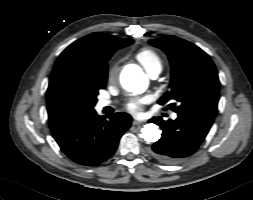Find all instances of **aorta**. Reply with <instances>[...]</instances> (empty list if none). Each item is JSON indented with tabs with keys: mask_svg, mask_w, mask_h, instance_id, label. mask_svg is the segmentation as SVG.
Listing matches in <instances>:
<instances>
[{
	"mask_svg": "<svg viewBox=\"0 0 253 200\" xmlns=\"http://www.w3.org/2000/svg\"><path fill=\"white\" fill-rule=\"evenodd\" d=\"M148 83V77L137 68L128 70L121 75V84L129 92L143 93L147 89ZM141 136L148 143L156 142L161 137V130L156 124L149 123L143 126Z\"/></svg>",
	"mask_w": 253,
	"mask_h": 200,
	"instance_id": "762f6f07",
	"label": "aorta"
}]
</instances>
